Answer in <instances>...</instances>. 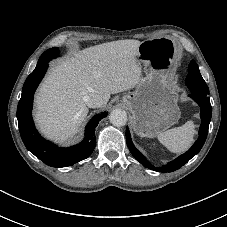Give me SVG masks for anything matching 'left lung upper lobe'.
Segmentation results:
<instances>
[{
    "instance_id": "obj_1",
    "label": "left lung upper lobe",
    "mask_w": 227,
    "mask_h": 227,
    "mask_svg": "<svg viewBox=\"0 0 227 227\" xmlns=\"http://www.w3.org/2000/svg\"><path fill=\"white\" fill-rule=\"evenodd\" d=\"M186 85L191 92H197L200 95L208 96L209 89L202 78L197 64L192 60L188 67Z\"/></svg>"
}]
</instances>
